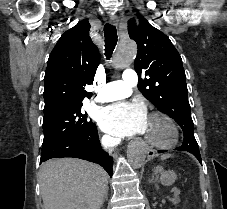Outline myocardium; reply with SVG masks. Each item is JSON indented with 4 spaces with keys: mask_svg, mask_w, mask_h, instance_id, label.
<instances>
[{
    "mask_svg": "<svg viewBox=\"0 0 227 209\" xmlns=\"http://www.w3.org/2000/svg\"><path fill=\"white\" fill-rule=\"evenodd\" d=\"M149 118L160 119V120L164 121L170 128L171 137L169 138V140H167L165 142H157V141H153V140L144 138L143 139L144 144L149 147L158 148V149L164 148V147H166V148L175 147L180 139V130H179V127L176 124V122L166 113L159 112V111L152 112L150 114Z\"/></svg>",
    "mask_w": 227,
    "mask_h": 209,
    "instance_id": "1",
    "label": "myocardium"
}]
</instances>
